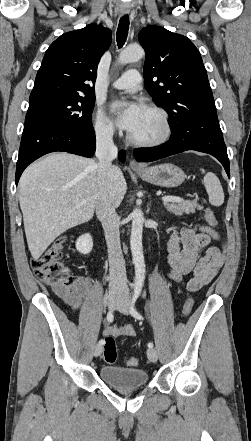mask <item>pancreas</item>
Returning <instances> with one entry per match:
<instances>
[{
  "mask_svg": "<svg viewBox=\"0 0 251 441\" xmlns=\"http://www.w3.org/2000/svg\"><path fill=\"white\" fill-rule=\"evenodd\" d=\"M165 207L167 210L176 215V216H182L184 213H194L195 210H203V206H200L196 200L193 201H182L177 203H166Z\"/></svg>",
  "mask_w": 251,
  "mask_h": 441,
  "instance_id": "obj_1",
  "label": "pancreas"
}]
</instances>
